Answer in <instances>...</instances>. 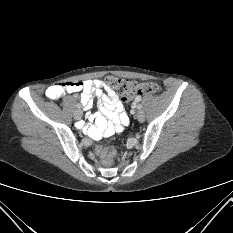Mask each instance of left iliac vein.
I'll return each mask as SVG.
<instances>
[{
	"label": "left iliac vein",
	"instance_id": "1",
	"mask_svg": "<svg viewBox=\"0 0 233 233\" xmlns=\"http://www.w3.org/2000/svg\"><path fill=\"white\" fill-rule=\"evenodd\" d=\"M136 117L139 122H143L145 120V114L143 111L139 110L136 114Z\"/></svg>",
	"mask_w": 233,
	"mask_h": 233
}]
</instances>
